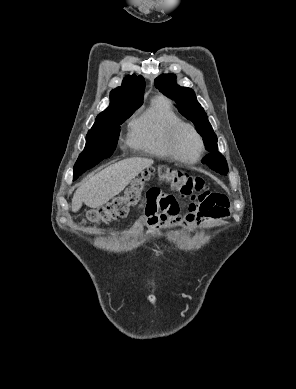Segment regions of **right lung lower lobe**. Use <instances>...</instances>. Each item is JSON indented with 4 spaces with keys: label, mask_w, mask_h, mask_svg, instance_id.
Masks as SVG:
<instances>
[{
    "label": "right lung lower lobe",
    "mask_w": 296,
    "mask_h": 389,
    "mask_svg": "<svg viewBox=\"0 0 296 389\" xmlns=\"http://www.w3.org/2000/svg\"><path fill=\"white\" fill-rule=\"evenodd\" d=\"M93 166H95V164H85L84 166L74 168V180L78 178V176H80L83 172L92 168Z\"/></svg>",
    "instance_id": "right-lung-lower-lobe-1"
}]
</instances>
